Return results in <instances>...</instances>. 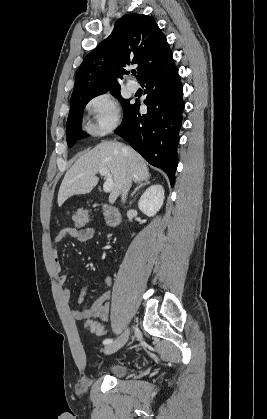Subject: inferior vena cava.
I'll list each match as a JSON object with an SVG mask.
<instances>
[{
  "instance_id": "1",
  "label": "inferior vena cava",
  "mask_w": 267,
  "mask_h": 419,
  "mask_svg": "<svg viewBox=\"0 0 267 419\" xmlns=\"http://www.w3.org/2000/svg\"><path fill=\"white\" fill-rule=\"evenodd\" d=\"M131 182H132V177H131L130 174H128L127 177L124 180V184H123L122 189H121V199H122L123 203H125V201H126L128 191L131 187Z\"/></svg>"
}]
</instances>
